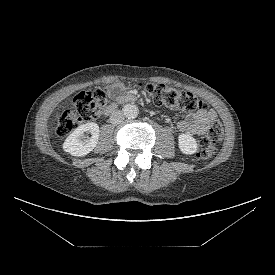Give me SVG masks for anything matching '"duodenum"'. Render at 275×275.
Instances as JSON below:
<instances>
[{"instance_id": "410a0bca", "label": "duodenum", "mask_w": 275, "mask_h": 275, "mask_svg": "<svg viewBox=\"0 0 275 275\" xmlns=\"http://www.w3.org/2000/svg\"><path fill=\"white\" fill-rule=\"evenodd\" d=\"M135 100V97L133 95H127L121 98V102H132ZM116 108V104L110 105L106 110H105V115L111 114L114 109Z\"/></svg>"}]
</instances>
